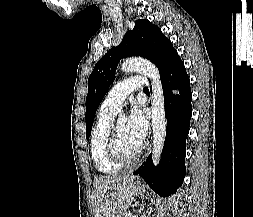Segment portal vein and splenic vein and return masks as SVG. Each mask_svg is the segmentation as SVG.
Masks as SVG:
<instances>
[{"label": "portal vein and splenic vein", "instance_id": "1", "mask_svg": "<svg viewBox=\"0 0 253 217\" xmlns=\"http://www.w3.org/2000/svg\"><path fill=\"white\" fill-rule=\"evenodd\" d=\"M129 217H137V216H132V215L130 214Z\"/></svg>", "mask_w": 253, "mask_h": 217}]
</instances>
